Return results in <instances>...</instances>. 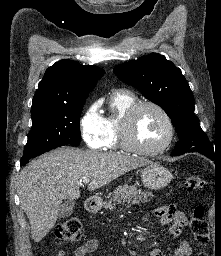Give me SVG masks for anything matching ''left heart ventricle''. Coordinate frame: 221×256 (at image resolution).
<instances>
[{"instance_id": "left-heart-ventricle-1", "label": "left heart ventricle", "mask_w": 221, "mask_h": 256, "mask_svg": "<svg viewBox=\"0 0 221 256\" xmlns=\"http://www.w3.org/2000/svg\"><path fill=\"white\" fill-rule=\"evenodd\" d=\"M167 135V126L162 115L151 107L142 109L136 117L134 137L146 148L159 146Z\"/></svg>"}]
</instances>
